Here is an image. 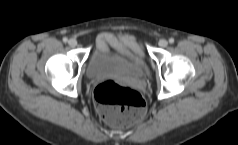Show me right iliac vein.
Here are the masks:
<instances>
[{
	"label": "right iliac vein",
	"instance_id": "1",
	"mask_svg": "<svg viewBox=\"0 0 238 145\" xmlns=\"http://www.w3.org/2000/svg\"><path fill=\"white\" fill-rule=\"evenodd\" d=\"M68 44L69 46L71 47H75L77 45V40L75 38H71L69 41H68Z\"/></svg>",
	"mask_w": 238,
	"mask_h": 145
}]
</instances>
